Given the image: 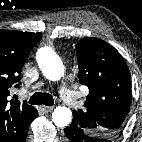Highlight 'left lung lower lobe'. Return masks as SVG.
<instances>
[{
    "label": "left lung lower lobe",
    "instance_id": "obj_1",
    "mask_svg": "<svg viewBox=\"0 0 142 142\" xmlns=\"http://www.w3.org/2000/svg\"><path fill=\"white\" fill-rule=\"evenodd\" d=\"M67 142H112L107 137H98L79 127L74 122L64 129Z\"/></svg>",
    "mask_w": 142,
    "mask_h": 142
}]
</instances>
